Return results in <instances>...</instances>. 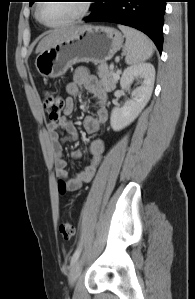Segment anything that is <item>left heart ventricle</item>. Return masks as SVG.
Masks as SVG:
<instances>
[{
	"label": "left heart ventricle",
	"mask_w": 195,
	"mask_h": 299,
	"mask_svg": "<svg viewBox=\"0 0 195 299\" xmlns=\"http://www.w3.org/2000/svg\"><path fill=\"white\" fill-rule=\"evenodd\" d=\"M82 1H47L40 8L41 17L50 24L64 22L81 11Z\"/></svg>",
	"instance_id": "obj_1"
}]
</instances>
